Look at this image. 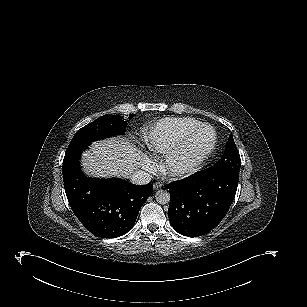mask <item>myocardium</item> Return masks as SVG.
Returning <instances> with one entry per match:
<instances>
[{
    "mask_svg": "<svg viewBox=\"0 0 307 307\" xmlns=\"http://www.w3.org/2000/svg\"><path fill=\"white\" fill-rule=\"evenodd\" d=\"M203 129L202 126L196 128L193 133H191L189 136L184 138L181 143H179L172 152H170L168 155H165L160 160L161 170L163 173L171 176V177H181L188 173H190L194 167L199 166L204 157H205V148H200L196 154V158L193 160V162L189 165H181V166H173L172 160L176 156V154L185 146L189 145L193 141H195L198 137V134ZM214 138V132L211 131V139Z\"/></svg>",
    "mask_w": 307,
    "mask_h": 307,
    "instance_id": "myocardium-1",
    "label": "myocardium"
}]
</instances>
